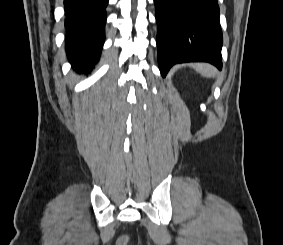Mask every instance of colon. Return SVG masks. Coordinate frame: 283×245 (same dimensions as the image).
<instances>
[{"label":"colon","instance_id":"obj_1","mask_svg":"<svg viewBox=\"0 0 283 245\" xmlns=\"http://www.w3.org/2000/svg\"><path fill=\"white\" fill-rule=\"evenodd\" d=\"M129 242H130V237L128 235H123L118 239L117 245H128Z\"/></svg>","mask_w":283,"mask_h":245}]
</instances>
